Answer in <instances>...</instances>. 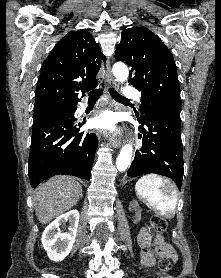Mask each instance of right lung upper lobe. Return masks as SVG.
Here are the masks:
<instances>
[{"mask_svg": "<svg viewBox=\"0 0 221 278\" xmlns=\"http://www.w3.org/2000/svg\"><path fill=\"white\" fill-rule=\"evenodd\" d=\"M105 56L86 30L66 34L41 67L35 105L50 101L73 102L98 85L96 75Z\"/></svg>", "mask_w": 221, "mask_h": 278, "instance_id": "right-lung-upper-lobe-1", "label": "right lung upper lobe"}]
</instances>
